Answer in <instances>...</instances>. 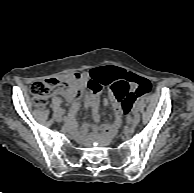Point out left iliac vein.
<instances>
[{
  "label": "left iliac vein",
  "instance_id": "obj_1",
  "mask_svg": "<svg viewBox=\"0 0 194 193\" xmlns=\"http://www.w3.org/2000/svg\"><path fill=\"white\" fill-rule=\"evenodd\" d=\"M133 114H135V116H134V119H133V122H132V128H135L138 125L139 121H140V116L137 113L136 109H134Z\"/></svg>",
  "mask_w": 194,
  "mask_h": 193
}]
</instances>
